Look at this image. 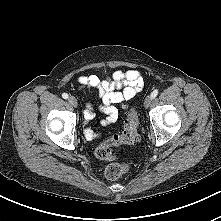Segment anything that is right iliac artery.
Returning a JSON list of instances; mask_svg holds the SVG:
<instances>
[{"label":"right iliac artery","mask_w":221,"mask_h":221,"mask_svg":"<svg viewBox=\"0 0 221 221\" xmlns=\"http://www.w3.org/2000/svg\"><path fill=\"white\" fill-rule=\"evenodd\" d=\"M62 97H63L64 99H67L69 96H68L67 93H63V94H62Z\"/></svg>","instance_id":"obj_1"}]
</instances>
